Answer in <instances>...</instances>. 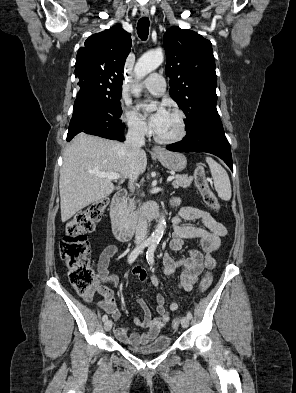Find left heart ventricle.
Returning a JSON list of instances; mask_svg holds the SVG:
<instances>
[{"label": "left heart ventricle", "mask_w": 296, "mask_h": 393, "mask_svg": "<svg viewBox=\"0 0 296 393\" xmlns=\"http://www.w3.org/2000/svg\"><path fill=\"white\" fill-rule=\"evenodd\" d=\"M179 131V119L176 115L169 113L164 118L160 127L155 131L156 134L163 138L175 136Z\"/></svg>", "instance_id": "obj_1"}]
</instances>
